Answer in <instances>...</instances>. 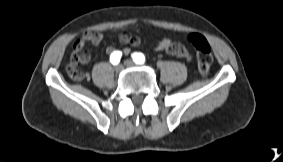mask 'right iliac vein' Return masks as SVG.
<instances>
[{"label": "right iliac vein", "mask_w": 283, "mask_h": 162, "mask_svg": "<svg viewBox=\"0 0 283 162\" xmlns=\"http://www.w3.org/2000/svg\"><path fill=\"white\" fill-rule=\"evenodd\" d=\"M123 65H117L116 67H115V71L117 72V73H120L122 70H123Z\"/></svg>", "instance_id": "right-iliac-vein-1"}]
</instances>
